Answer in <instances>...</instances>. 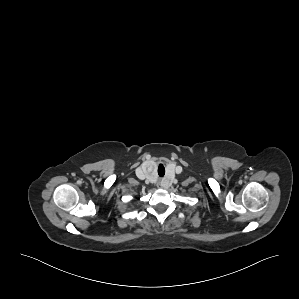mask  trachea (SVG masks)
Instances as JSON below:
<instances>
[{
  "instance_id": "1",
  "label": "trachea",
  "mask_w": 299,
  "mask_h": 299,
  "mask_svg": "<svg viewBox=\"0 0 299 299\" xmlns=\"http://www.w3.org/2000/svg\"><path fill=\"white\" fill-rule=\"evenodd\" d=\"M158 175L160 177H163L165 175V168L162 164H159V167H158Z\"/></svg>"
}]
</instances>
